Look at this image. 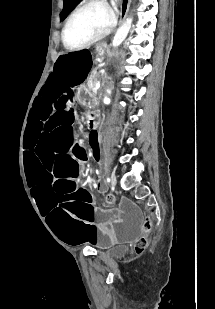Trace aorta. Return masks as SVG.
Returning a JSON list of instances; mask_svg holds the SVG:
<instances>
[{"instance_id":"aorta-1","label":"aorta","mask_w":215,"mask_h":309,"mask_svg":"<svg viewBox=\"0 0 215 309\" xmlns=\"http://www.w3.org/2000/svg\"><path fill=\"white\" fill-rule=\"evenodd\" d=\"M132 24V18H126L125 22L119 26L113 40L112 44L113 46H119L121 44L122 40H125Z\"/></svg>"}]
</instances>
